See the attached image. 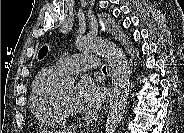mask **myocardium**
<instances>
[{"mask_svg": "<svg viewBox=\"0 0 184 133\" xmlns=\"http://www.w3.org/2000/svg\"><path fill=\"white\" fill-rule=\"evenodd\" d=\"M57 103L59 106V109L63 115L64 118L70 119V120H76L78 119V115L73 113L66 105L63 96H62V89L59 88L58 94H57Z\"/></svg>", "mask_w": 184, "mask_h": 133, "instance_id": "1", "label": "myocardium"}]
</instances>
